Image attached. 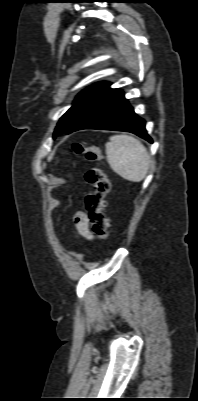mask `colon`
Returning <instances> with one entry per match:
<instances>
[{"mask_svg": "<svg viewBox=\"0 0 198 401\" xmlns=\"http://www.w3.org/2000/svg\"><path fill=\"white\" fill-rule=\"evenodd\" d=\"M72 149L75 154L83 155L87 161L93 163L85 173V180L92 188L85 198L87 217L96 236L106 239L110 232V221L106 215L110 182L100 167L101 150L98 146H86L81 143H74Z\"/></svg>", "mask_w": 198, "mask_h": 401, "instance_id": "colon-1", "label": "colon"}]
</instances>
